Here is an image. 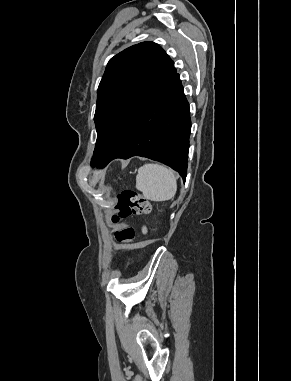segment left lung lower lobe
I'll list each match as a JSON object with an SVG mask.
<instances>
[{
  "label": "left lung lower lobe",
  "mask_w": 291,
  "mask_h": 381,
  "mask_svg": "<svg viewBox=\"0 0 291 381\" xmlns=\"http://www.w3.org/2000/svg\"><path fill=\"white\" fill-rule=\"evenodd\" d=\"M191 131L189 104L179 74L145 105L123 139L97 166L115 158L147 157L162 162L186 179Z\"/></svg>",
  "instance_id": "left-lung-lower-lobe-1"
}]
</instances>
